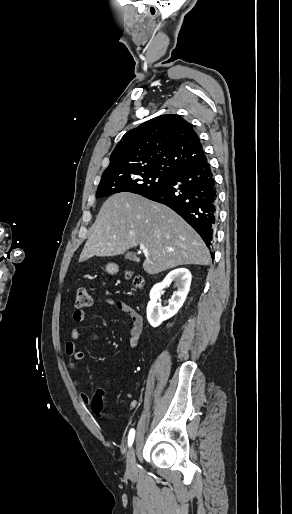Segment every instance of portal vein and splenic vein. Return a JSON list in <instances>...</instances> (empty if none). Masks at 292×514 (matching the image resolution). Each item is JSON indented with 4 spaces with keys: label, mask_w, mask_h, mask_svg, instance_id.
Returning a JSON list of instances; mask_svg holds the SVG:
<instances>
[{
    "label": "portal vein and splenic vein",
    "mask_w": 292,
    "mask_h": 514,
    "mask_svg": "<svg viewBox=\"0 0 292 514\" xmlns=\"http://www.w3.org/2000/svg\"><path fill=\"white\" fill-rule=\"evenodd\" d=\"M140 250H142L143 254H149L148 250H146L143 244H140ZM167 252H173V250H167Z\"/></svg>",
    "instance_id": "1"
}]
</instances>
